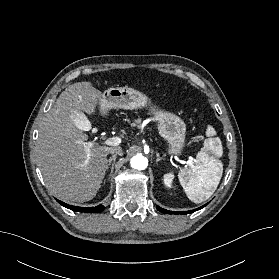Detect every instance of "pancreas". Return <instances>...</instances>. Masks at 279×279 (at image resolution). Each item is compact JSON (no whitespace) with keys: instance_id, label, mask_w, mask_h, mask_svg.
<instances>
[{"instance_id":"1","label":"pancreas","mask_w":279,"mask_h":279,"mask_svg":"<svg viewBox=\"0 0 279 279\" xmlns=\"http://www.w3.org/2000/svg\"><path fill=\"white\" fill-rule=\"evenodd\" d=\"M136 123L139 124V123H140V120H139V119L136 120ZM133 125H136V124L134 123Z\"/></svg>"}]
</instances>
